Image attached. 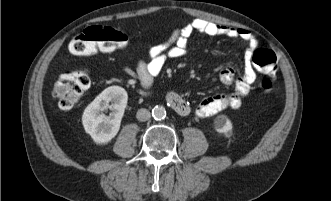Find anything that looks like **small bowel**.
Returning a JSON list of instances; mask_svg holds the SVG:
<instances>
[{
	"label": "small bowel",
	"mask_w": 331,
	"mask_h": 201,
	"mask_svg": "<svg viewBox=\"0 0 331 201\" xmlns=\"http://www.w3.org/2000/svg\"><path fill=\"white\" fill-rule=\"evenodd\" d=\"M194 32L208 38L226 36L245 41L247 49L244 56L243 74L236 78L233 67L222 68L219 74L220 81L227 86L234 85V91L206 97L194 109L174 91H170L166 95L167 103L180 115L185 116L193 112L198 118H206L228 108L238 109L256 80L252 57L258 40L247 29L217 24L199 18L193 19L184 26L175 29L166 42L151 47L148 51V61L139 60L134 70L127 67L125 72L144 88H149L154 77L160 73L168 60L178 59L187 54L188 41Z\"/></svg>",
	"instance_id": "1"
}]
</instances>
